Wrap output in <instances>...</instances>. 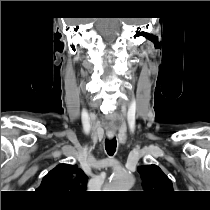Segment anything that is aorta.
Returning <instances> with one entry per match:
<instances>
[{"label": "aorta", "mask_w": 210, "mask_h": 210, "mask_svg": "<svg viewBox=\"0 0 210 210\" xmlns=\"http://www.w3.org/2000/svg\"><path fill=\"white\" fill-rule=\"evenodd\" d=\"M134 184V176L125 171L117 170L115 171L111 178L107 189H114L116 191H128Z\"/></svg>", "instance_id": "1"}]
</instances>
